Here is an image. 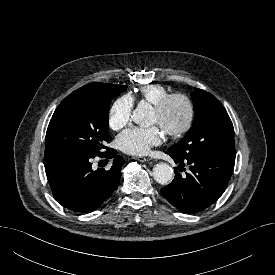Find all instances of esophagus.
Instances as JSON below:
<instances>
[{"mask_svg": "<svg viewBox=\"0 0 275 275\" xmlns=\"http://www.w3.org/2000/svg\"><path fill=\"white\" fill-rule=\"evenodd\" d=\"M134 159H135V160H138V161H140V162H147V161L150 160L149 158H147V157H142V156H135Z\"/></svg>", "mask_w": 275, "mask_h": 275, "instance_id": "1", "label": "esophagus"}]
</instances>
